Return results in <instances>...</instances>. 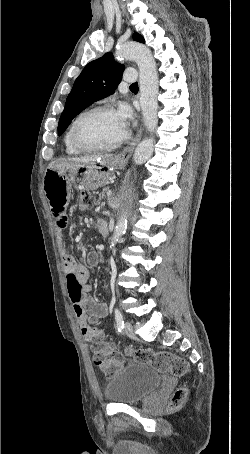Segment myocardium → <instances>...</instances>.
I'll use <instances>...</instances> for the list:
<instances>
[{
    "mask_svg": "<svg viewBox=\"0 0 250 454\" xmlns=\"http://www.w3.org/2000/svg\"><path fill=\"white\" fill-rule=\"evenodd\" d=\"M110 111H115L113 107L108 106V105H98L93 108H90L83 113H81L77 119L75 120L72 130H71V142L72 144L79 149L80 151L83 152H104V151H111L113 149L118 148L121 146L125 141L129 139V132L128 130L125 131L123 136H121L118 140L115 142L105 145V146H90L82 143L78 137V129L81 125V123L90 115L97 113V112H110Z\"/></svg>",
    "mask_w": 250,
    "mask_h": 454,
    "instance_id": "1",
    "label": "myocardium"
}]
</instances>
